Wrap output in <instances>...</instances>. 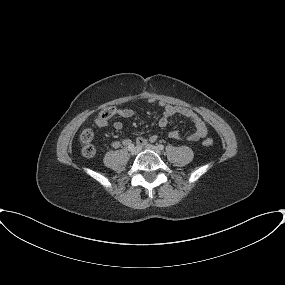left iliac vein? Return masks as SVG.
<instances>
[{
  "mask_svg": "<svg viewBox=\"0 0 285 285\" xmlns=\"http://www.w3.org/2000/svg\"><path fill=\"white\" fill-rule=\"evenodd\" d=\"M145 147H146V149L151 150V151L157 153L158 155L161 154V151L154 145L147 144Z\"/></svg>",
  "mask_w": 285,
  "mask_h": 285,
  "instance_id": "4c4485c4",
  "label": "left iliac vein"
}]
</instances>
